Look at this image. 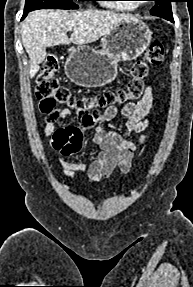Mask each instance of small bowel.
<instances>
[{
	"label": "small bowel",
	"mask_w": 193,
	"mask_h": 287,
	"mask_svg": "<svg viewBox=\"0 0 193 287\" xmlns=\"http://www.w3.org/2000/svg\"><path fill=\"white\" fill-rule=\"evenodd\" d=\"M152 104L153 92L148 86L144 96L137 103H127L120 109L121 115L125 118L126 133L139 134L141 142L147 138L146 129L150 124ZM117 114L116 106L108 107L99 121H111ZM71 115L70 110H63L41 130V133L44 136L51 135V147L54 152H59V156H84L85 150L81 148L86 142L84 133L89 128L79 127V124L74 122H62L56 127L58 122L68 119ZM91 129V142L97 149L96 158L90 162H70L59 157L58 163L63 175L72 178L76 172H86L90 182H98L108 178L117 167L123 173H128L136 145L124 135L105 130L101 125H94Z\"/></svg>",
	"instance_id": "small-bowel-1"
}]
</instances>
